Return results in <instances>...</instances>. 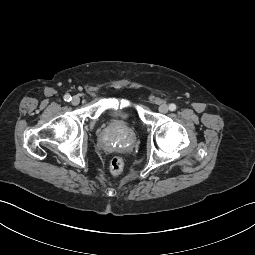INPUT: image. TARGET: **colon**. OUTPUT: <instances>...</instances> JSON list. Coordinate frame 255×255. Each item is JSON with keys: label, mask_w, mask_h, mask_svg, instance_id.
I'll use <instances>...</instances> for the list:
<instances>
[{"label": "colon", "mask_w": 255, "mask_h": 255, "mask_svg": "<svg viewBox=\"0 0 255 255\" xmlns=\"http://www.w3.org/2000/svg\"><path fill=\"white\" fill-rule=\"evenodd\" d=\"M124 170V160L120 156H114L109 162V171L112 175L118 176Z\"/></svg>", "instance_id": "5ec220e1"}]
</instances>
